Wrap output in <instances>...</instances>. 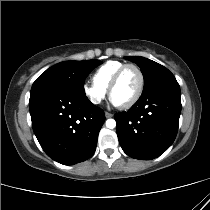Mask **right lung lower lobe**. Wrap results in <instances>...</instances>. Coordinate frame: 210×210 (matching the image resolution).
I'll return each mask as SVG.
<instances>
[{"instance_id": "98d812e1", "label": "right lung lower lobe", "mask_w": 210, "mask_h": 210, "mask_svg": "<svg viewBox=\"0 0 210 210\" xmlns=\"http://www.w3.org/2000/svg\"><path fill=\"white\" fill-rule=\"evenodd\" d=\"M33 131L45 153L58 163L73 165L95 152L104 111L85 95L65 89L30 93Z\"/></svg>"}]
</instances>
